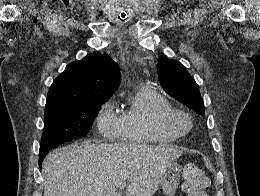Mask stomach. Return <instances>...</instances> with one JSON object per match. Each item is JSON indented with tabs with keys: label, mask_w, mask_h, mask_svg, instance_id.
Here are the masks:
<instances>
[{
	"label": "stomach",
	"mask_w": 260,
	"mask_h": 196,
	"mask_svg": "<svg viewBox=\"0 0 260 196\" xmlns=\"http://www.w3.org/2000/svg\"><path fill=\"white\" fill-rule=\"evenodd\" d=\"M180 174L181 166L178 162H173V164L167 168L160 182L164 196H175V192L179 186Z\"/></svg>",
	"instance_id": "0dacf381"
}]
</instances>
